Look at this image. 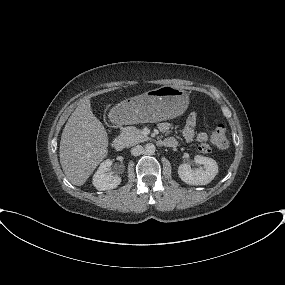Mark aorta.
Wrapping results in <instances>:
<instances>
[{"label":"aorta","instance_id":"1","mask_svg":"<svg viewBox=\"0 0 285 285\" xmlns=\"http://www.w3.org/2000/svg\"><path fill=\"white\" fill-rule=\"evenodd\" d=\"M155 150H156V147H155L154 144H152V143H147V144L145 145V152H146L148 155L154 154Z\"/></svg>","mask_w":285,"mask_h":285}]
</instances>
